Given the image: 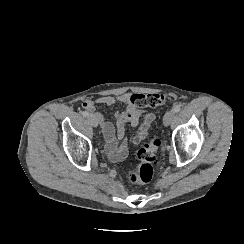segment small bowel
Masks as SVG:
<instances>
[{
    "label": "small bowel",
    "instance_id": "1",
    "mask_svg": "<svg viewBox=\"0 0 244 244\" xmlns=\"http://www.w3.org/2000/svg\"><path fill=\"white\" fill-rule=\"evenodd\" d=\"M132 96L130 93H122L118 96H102L96 101L85 99L82 102L85 112L100 125L106 140V148L115 158L124 157L127 153L128 144L131 143V138L126 137V125L129 124L136 128V133L145 137L155 120L153 113L146 112L132 103ZM118 103L125 105L126 109L116 114L114 125L102 112L97 110V106L111 107Z\"/></svg>",
    "mask_w": 244,
    "mask_h": 244
}]
</instances>
